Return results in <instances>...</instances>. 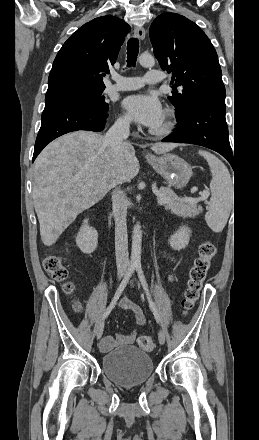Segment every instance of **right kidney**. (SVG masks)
Masks as SVG:
<instances>
[{"mask_svg":"<svg viewBox=\"0 0 259 440\" xmlns=\"http://www.w3.org/2000/svg\"><path fill=\"white\" fill-rule=\"evenodd\" d=\"M88 220L83 221V225L76 236V245L84 254L94 252L98 244V232L95 228L89 226Z\"/></svg>","mask_w":259,"mask_h":440,"instance_id":"obj_1","label":"right kidney"}]
</instances>
